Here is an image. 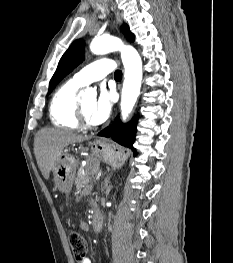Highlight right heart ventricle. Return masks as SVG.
Returning <instances> with one entry per match:
<instances>
[{"instance_id":"obj_1","label":"right heart ventricle","mask_w":233,"mask_h":263,"mask_svg":"<svg viewBox=\"0 0 233 263\" xmlns=\"http://www.w3.org/2000/svg\"><path fill=\"white\" fill-rule=\"evenodd\" d=\"M80 87L79 84L70 79L54 93L50 102L49 114L55 126L71 129L80 128L77 115Z\"/></svg>"}]
</instances>
